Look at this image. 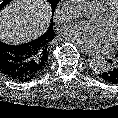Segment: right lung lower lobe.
Returning a JSON list of instances; mask_svg holds the SVG:
<instances>
[{"label": "right lung lower lobe", "mask_w": 118, "mask_h": 118, "mask_svg": "<svg viewBox=\"0 0 118 118\" xmlns=\"http://www.w3.org/2000/svg\"><path fill=\"white\" fill-rule=\"evenodd\" d=\"M31 42L8 45L0 41V73L16 82H26L36 77V54Z\"/></svg>", "instance_id": "right-lung-lower-lobe-1"}]
</instances>
